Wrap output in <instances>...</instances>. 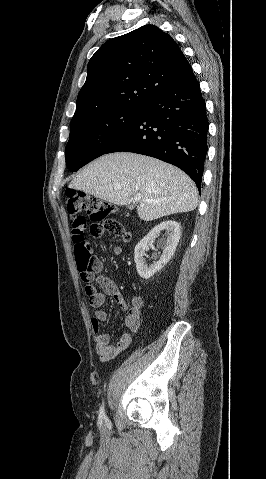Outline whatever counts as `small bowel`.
Instances as JSON below:
<instances>
[{"label": "small bowel", "mask_w": 266, "mask_h": 479, "mask_svg": "<svg viewBox=\"0 0 266 479\" xmlns=\"http://www.w3.org/2000/svg\"><path fill=\"white\" fill-rule=\"evenodd\" d=\"M93 273L97 275L96 281L102 289L98 292L95 300L90 302L95 308L101 307L106 297H110L121 308L124 314V325L129 332H124L116 343H112L111 334L101 328V324L108 319L106 311L97 309L94 317L91 319V326L95 333V351L101 360L109 361L119 355L132 342L133 336L141 326V313L144 306V300L139 295H134L131 299V305L128 306L124 296L120 292L116 283L110 278L101 275L103 270V261L96 257L93 259Z\"/></svg>", "instance_id": "1"}]
</instances>
